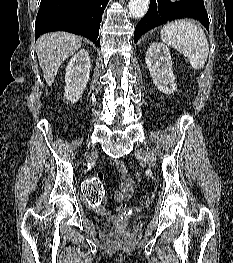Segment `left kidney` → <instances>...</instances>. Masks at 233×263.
<instances>
[{
    "mask_svg": "<svg viewBox=\"0 0 233 263\" xmlns=\"http://www.w3.org/2000/svg\"><path fill=\"white\" fill-rule=\"evenodd\" d=\"M145 63L159 91L171 94L177 90L170 51L165 44L151 43L146 52Z\"/></svg>",
    "mask_w": 233,
    "mask_h": 263,
    "instance_id": "5707ae66",
    "label": "left kidney"
}]
</instances>
